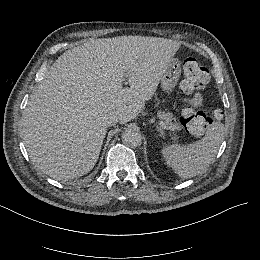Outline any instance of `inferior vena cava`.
Wrapping results in <instances>:
<instances>
[{"mask_svg":"<svg viewBox=\"0 0 260 260\" xmlns=\"http://www.w3.org/2000/svg\"><path fill=\"white\" fill-rule=\"evenodd\" d=\"M118 122V116L114 113H110L106 118L107 126H114Z\"/></svg>","mask_w":260,"mask_h":260,"instance_id":"inferior-vena-cava-1","label":"inferior vena cava"}]
</instances>
